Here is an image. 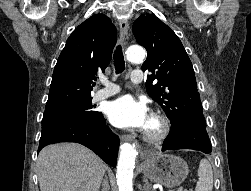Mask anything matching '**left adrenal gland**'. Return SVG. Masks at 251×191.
Wrapping results in <instances>:
<instances>
[{
  "label": "left adrenal gland",
  "mask_w": 251,
  "mask_h": 191,
  "mask_svg": "<svg viewBox=\"0 0 251 191\" xmlns=\"http://www.w3.org/2000/svg\"><path fill=\"white\" fill-rule=\"evenodd\" d=\"M145 181L143 187V191H153L151 183H149L148 179H143Z\"/></svg>",
  "instance_id": "a2214340"
}]
</instances>
